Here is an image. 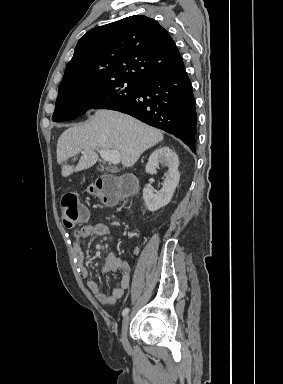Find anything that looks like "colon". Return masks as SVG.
Returning a JSON list of instances; mask_svg holds the SVG:
<instances>
[{"instance_id":"colon-1","label":"colon","mask_w":283,"mask_h":384,"mask_svg":"<svg viewBox=\"0 0 283 384\" xmlns=\"http://www.w3.org/2000/svg\"><path fill=\"white\" fill-rule=\"evenodd\" d=\"M132 186L128 178L106 176L99 178L89 188V191L107 205H114L124 197ZM62 221L66 228H73L85 222L87 211L80 206L78 198L72 193L65 194L61 200Z\"/></svg>"}]
</instances>
